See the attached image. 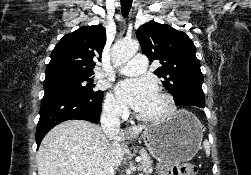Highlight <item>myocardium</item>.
Segmentation results:
<instances>
[{
    "instance_id": "obj_1",
    "label": "myocardium",
    "mask_w": 251,
    "mask_h": 175,
    "mask_svg": "<svg viewBox=\"0 0 251 175\" xmlns=\"http://www.w3.org/2000/svg\"><path fill=\"white\" fill-rule=\"evenodd\" d=\"M159 96L164 102L165 109L155 115H145L144 118L148 121L164 122L173 118L178 112V103L173 94L168 91H162Z\"/></svg>"
}]
</instances>
